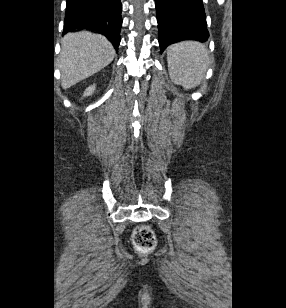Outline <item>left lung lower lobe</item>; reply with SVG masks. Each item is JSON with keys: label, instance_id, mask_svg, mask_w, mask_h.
<instances>
[{"label": "left lung lower lobe", "instance_id": "1", "mask_svg": "<svg viewBox=\"0 0 286 308\" xmlns=\"http://www.w3.org/2000/svg\"><path fill=\"white\" fill-rule=\"evenodd\" d=\"M161 53L181 40L209 37L202 0H155Z\"/></svg>", "mask_w": 286, "mask_h": 308}]
</instances>
